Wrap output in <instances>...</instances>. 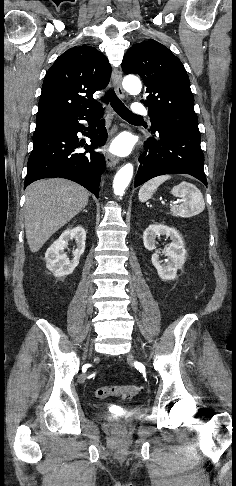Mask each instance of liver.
I'll return each instance as SVG.
<instances>
[{
  "instance_id": "1",
  "label": "liver",
  "mask_w": 236,
  "mask_h": 486,
  "mask_svg": "<svg viewBox=\"0 0 236 486\" xmlns=\"http://www.w3.org/2000/svg\"><path fill=\"white\" fill-rule=\"evenodd\" d=\"M82 186L62 178L39 180L26 189L25 231L31 252H37L58 229L88 204Z\"/></svg>"
}]
</instances>
